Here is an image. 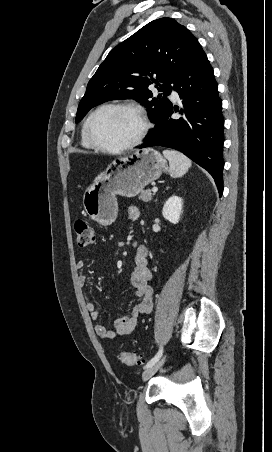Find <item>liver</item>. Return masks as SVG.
<instances>
[{
    "label": "liver",
    "instance_id": "1",
    "mask_svg": "<svg viewBox=\"0 0 272 452\" xmlns=\"http://www.w3.org/2000/svg\"><path fill=\"white\" fill-rule=\"evenodd\" d=\"M104 173H105V172L99 174V175L96 177V179L94 180V183H93V184H95V183H97L99 180H101L102 177L104 176Z\"/></svg>",
    "mask_w": 272,
    "mask_h": 452
}]
</instances>
